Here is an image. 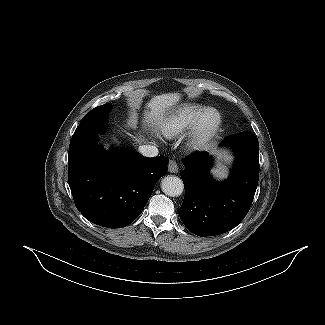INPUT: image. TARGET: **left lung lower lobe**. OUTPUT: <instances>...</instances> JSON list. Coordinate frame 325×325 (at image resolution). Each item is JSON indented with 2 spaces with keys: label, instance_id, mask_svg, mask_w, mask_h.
<instances>
[{
  "label": "left lung lower lobe",
  "instance_id": "0a47b994",
  "mask_svg": "<svg viewBox=\"0 0 325 325\" xmlns=\"http://www.w3.org/2000/svg\"><path fill=\"white\" fill-rule=\"evenodd\" d=\"M236 155L232 173L224 183L210 175L211 158L207 152H195L182 163L180 176L186 187L180 218L189 231L198 236H214L236 227L248 213L259 179V144L251 132L224 139Z\"/></svg>",
  "mask_w": 325,
  "mask_h": 325
}]
</instances>
